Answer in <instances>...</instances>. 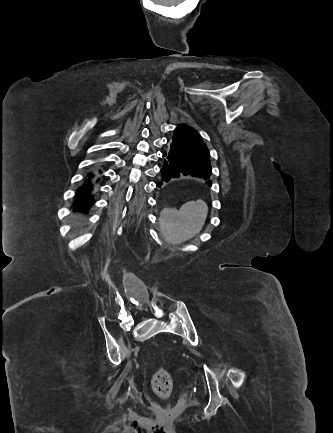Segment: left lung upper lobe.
<instances>
[{"label": "left lung upper lobe", "mask_w": 333, "mask_h": 433, "mask_svg": "<svg viewBox=\"0 0 333 433\" xmlns=\"http://www.w3.org/2000/svg\"><path fill=\"white\" fill-rule=\"evenodd\" d=\"M173 141L184 145L202 158L210 161V154L200 134L186 124L179 125L174 130Z\"/></svg>", "instance_id": "left-lung-upper-lobe-1"}]
</instances>
